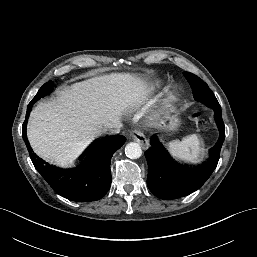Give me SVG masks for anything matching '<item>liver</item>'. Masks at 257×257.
<instances>
[{"label":"liver","mask_w":257,"mask_h":257,"mask_svg":"<svg viewBox=\"0 0 257 257\" xmlns=\"http://www.w3.org/2000/svg\"><path fill=\"white\" fill-rule=\"evenodd\" d=\"M146 80L129 73H112L73 84L54 101L38 104L27 127L37 155L58 165L72 164L110 125L119 124L127 109L152 106ZM146 102V104H145Z\"/></svg>","instance_id":"liver-1"}]
</instances>
